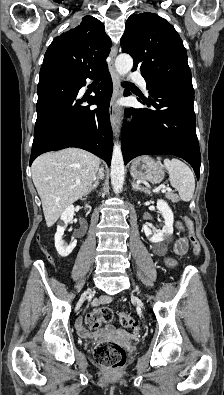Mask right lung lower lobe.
<instances>
[{
    "label": "right lung lower lobe",
    "instance_id": "right-lung-lower-lobe-1",
    "mask_svg": "<svg viewBox=\"0 0 224 395\" xmlns=\"http://www.w3.org/2000/svg\"><path fill=\"white\" fill-rule=\"evenodd\" d=\"M101 76L95 96L80 98L86 78ZM113 87L107 67L93 74H78L58 65L44 64L37 88V120L30 165L42 153L67 147L85 149L111 163L112 129L109 104ZM87 101L88 106H82ZM96 104V109L90 105Z\"/></svg>",
    "mask_w": 224,
    "mask_h": 395
}]
</instances>
